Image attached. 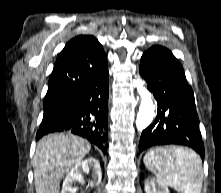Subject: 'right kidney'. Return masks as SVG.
<instances>
[{
  "label": "right kidney",
  "instance_id": "right-kidney-1",
  "mask_svg": "<svg viewBox=\"0 0 221 193\" xmlns=\"http://www.w3.org/2000/svg\"><path fill=\"white\" fill-rule=\"evenodd\" d=\"M90 168L93 169L92 180L90 181L91 186H97L102 179V172L100 163L95 158H87L82 162L77 163L66 176L61 193H76L78 190L75 187V182L84 183L82 173H88Z\"/></svg>",
  "mask_w": 221,
  "mask_h": 193
}]
</instances>
